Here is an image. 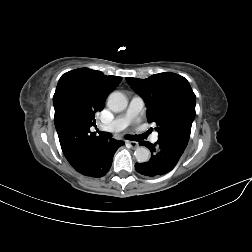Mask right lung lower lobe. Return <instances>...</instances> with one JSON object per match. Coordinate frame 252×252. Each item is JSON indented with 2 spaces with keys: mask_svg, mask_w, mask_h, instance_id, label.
I'll return each instance as SVG.
<instances>
[{
  "mask_svg": "<svg viewBox=\"0 0 252 252\" xmlns=\"http://www.w3.org/2000/svg\"><path fill=\"white\" fill-rule=\"evenodd\" d=\"M124 145L123 141L101 139L80 149L68 162L79 173L99 178L109 171L114 153Z\"/></svg>",
  "mask_w": 252,
  "mask_h": 252,
  "instance_id": "1",
  "label": "right lung lower lobe"
}]
</instances>
